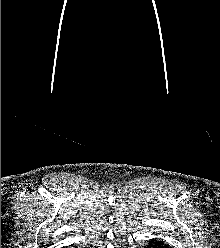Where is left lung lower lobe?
<instances>
[{"label":"left lung lower lobe","instance_id":"1","mask_svg":"<svg viewBox=\"0 0 220 248\" xmlns=\"http://www.w3.org/2000/svg\"><path fill=\"white\" fill-rule=\"evenodd\" d=\"M147 248H169L163 241L152 240Z\"/></svg>","mask_w":220,"mask_h":248}]
</instances>
